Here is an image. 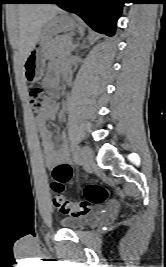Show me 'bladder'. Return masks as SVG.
Listing matches in <instances>:
<instances>
[{
  "instance_id": "obj_1",
  "label": "bladder",
  "mask_w": 166,
  "mask_h": 267,
  "mask_svg": "<svg viewBox=\"0 0 166 267\" xmlns=\"http://www.w3.org/2000/svg\"><path fill=\"white\" fill-rule=\"evenodd\" d=\"M96 217H97L96 213L86 214L81 216L66 217L60 221V224L63 228L77 230L88 226L91 222H93L96 219Z\"/></svg>"
}]
</instances>
